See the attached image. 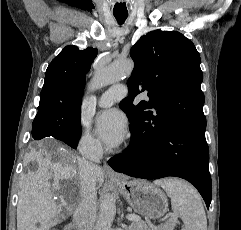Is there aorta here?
Returning <instances> with one entry per match:
<instances>
[{
	"label": "aorta",
	"instance_id": "obj_1",
	"mask_svg": "<svg viewBox=\"0 0 241 230\" xmlns=\"http://www.w3.org/2000/svg\"><path fill=\"white\" fill-rule=\"evenodd\" d=\"M132 60H116L111 64L99 68L91 82L92 89H100L109 84L119 82L129 77L133 71ZM116 200L112 194H107L101 205L96 224L97 230H113L112 223L116 214Z\"/></svg>",
	"mask_w": 241,
	"mask_h": 230
}]
</instances>
